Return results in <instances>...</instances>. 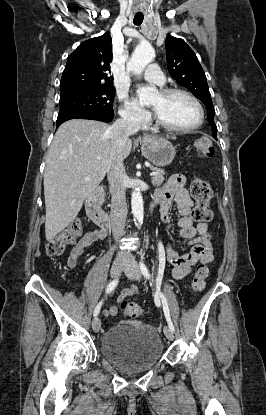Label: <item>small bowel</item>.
<instances>
[{
	"label": "small bowel",
	"instance_id": "obj_1",
	"mask_svg": "<svg viewBox=\"0 0 266 415\" xmlns=\"http://www.w3.org/2000/svg\"><path fill=\"white\" fill-rule=\"evenodd\" d=\"M186 178L183 175H173L166 184L158 189L154 195L153 205H159V217L167 225L168 231L171 229L170 207L172 201L176 203L177 211L180 215L178 221L179 235L183 239L189 240L190 251L184 254L178 253L170 244L166 247V258L172 265L171 277L175 280H183L193 270V267L200 264H208L214 258L212 236L206 223L193 224L190 212L193 201L186 187ZM106 231L93 229L86 232L77 244L72 248L68 257V266L75 268L78 259L82 256L85 249L98 240L105 238ZM139 289L131 286L122 290L117 301L122 302L125 298L137 296ZM117 314V307L112 306L104 311L105 316Z\"/></svg>",
	"mask_w": 266,
	"mask_h": 415
}]
</instances>
